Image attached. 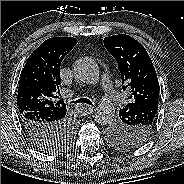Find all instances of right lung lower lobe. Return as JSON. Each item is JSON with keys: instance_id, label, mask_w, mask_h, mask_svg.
I'll list each match as a JSON object with an SVG mask.
<instances>
[{"instance_id": "1", "label": "right lung lower lobe", "mask_w": 184, "mask_h": 184, "mask_svg": "<svg viewBox=\"0 0 184 184\" xmlns=\"http://www.w3.org/2000/svg\"><path fill=\"white\" fill-rule=\"evenodd\" d=\"M21 124L32 143L39 149L42 147H57L68 130L74 134V125L67 117H48L40 112L20 114ZM72 142L63 149H67Z\"/></svg>"}]
</instances>
